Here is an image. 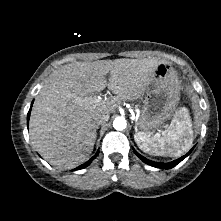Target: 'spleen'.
Listing matches in <instances>:
<instances>
[{"mask_svg":"<svg viewBox=\"0 0 221 221\" xmlns=\"http://www.w3.org/2000/svg\"><path fill=\"white\" fill-rule=\"evenodd\" d=\"M192 121L186 108L175 112L164 134L138 132L134 135L138 147L145 153L158 156H181L193 143Z\"/></svg>","mask_w":221,"mask_h":221,"instance_id":"3e777b00","label":"spleen"}]
</instances>
